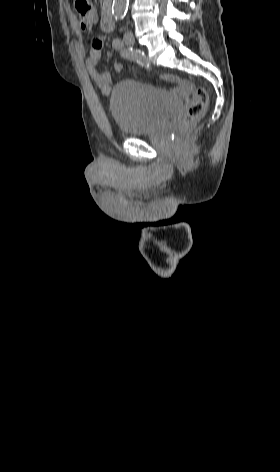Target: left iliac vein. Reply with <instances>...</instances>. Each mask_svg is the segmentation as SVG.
I'll list each match as a JSON object with an SVG mask.
<instances>
[{
	"label": "left iliac vein",
	"mask_w": 280,
	"mask_h": 472,
	"mask_svg": "<svg viewBox=\"0 0 280 472\" xmlns=\"http://www.w3.org/2000/svg\"><path fill=\"white\" fill-rule=\"evenodd\" d=\"M124 42L129 46L133 45L135 42L133 34L130 32H126L124 34Z\"/></svg>",
	"instance_id": "left-iliac-vein-1"
}]
</instances>
